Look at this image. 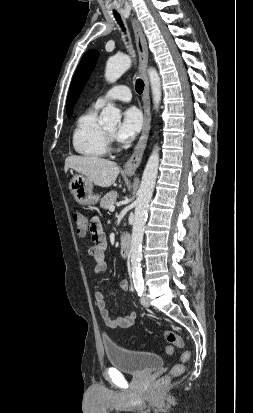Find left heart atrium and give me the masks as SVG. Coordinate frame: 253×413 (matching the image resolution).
<instances>
[{
	"instance_id": "39dd6f15",
	"label": "left heart atrium",
	"mask_w": 253,
	"mask_h": 413,
	"mask_svg": "<svg viewBox=\"0 0 253 413\" xmlns=\"http://www.w3.org/2000/svg\"><path fill=\"white\" fill-rule=\"evenodd\" d=\"M143 118L140 111L131 107L124 111L122 119L116 130V137L121 142H130L140 132Z\"/></svg>"
}]
</instances>
